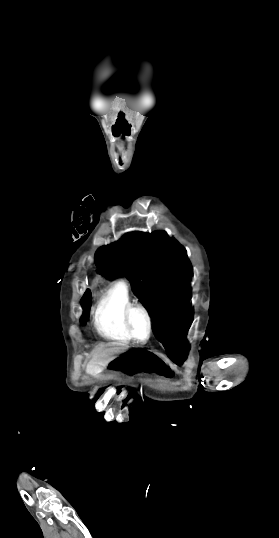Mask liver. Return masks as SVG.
Masks as SVG:
<instances>
[{
    "label": "liver",
    "mask_w": 279,
    "mask_h": 538,
    "mask_svg": "<svg viewBox=\"0 0 279 538\" xmlns=\"http://www.w3.org/2000/svg\"><path fill=\"white\" fill-rule=\"evenodd\" d=\"M111 346H120V344H115V342H113V344H111ZM115 352H118V350H116V348H109V350H106V354H115ZM111 360H114V358H111ZM96 366H95V360L93 358V360H91V362H89L86 370L88 372V374H91V372H93V370H95Z\"/></svg>",
    "instance_id": "6515ba94"
}]
</instances>
